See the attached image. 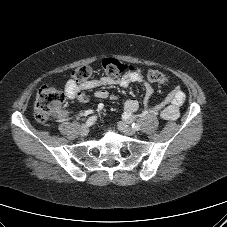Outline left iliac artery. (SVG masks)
Here are the masks:
<instances>
[{
  "label": "left iliac artery",
  "instance_id": "1",
  "mask_svg": "<svg viewBox=\"0 0 227 227\" xmlns=\"http://www.w3.org/2000/svg\"><path fill=\"white\" fill-rule=\"evenodd\" d=\"M132 128H133L134 130H139V129H140V125L137 124V123H133V124H132Z\"/></svg>",
  "mask_w": 227,
  "mask_h": 227
}]
</instances>
